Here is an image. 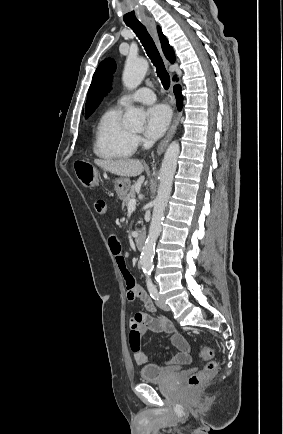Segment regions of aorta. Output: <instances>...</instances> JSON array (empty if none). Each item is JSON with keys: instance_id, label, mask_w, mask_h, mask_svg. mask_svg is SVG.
Masks as SVG:
<instances>
[{"instance_id": "aorta-1", "label": "aorta", "mask_w": 283, "mask_h": 434, "mask_svg": "<svg viewBox=\"0 0 283 434\" xmlns=\"http://www.w3.org/2000/svg\"><path fill=\"white\" fill-rule=\"evenodd\" d=\"M148 67L149 64L146 59L128 58L122 75L123 84L130 90L137 88L143 81ZM144 121V111L130 106L124 116L123 124L127 128L139 130L143 128ZM179 152V143L177 141L170 143L160 168V184L158 187V194L155 200L149 233L140 257V263L143 272L148 276L151 274L153 269L155 244L162 230L164 210L171 194L172 182L176 171Z\"/></svg>"}]
</instances>
